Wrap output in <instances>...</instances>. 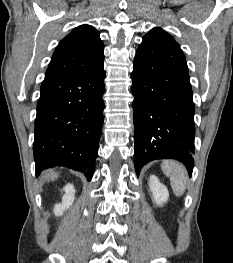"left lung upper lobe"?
I'll return each instance as SVG.
<instances>
[{"instance_id":"obj_1","label":"left lung upper lobe","mask_w":233,"mask_h":263,"mask_svg":"<svg viewBox=\"0 0 233 263\" xmlns=\"http://www.w3.org/2000/svg\"><path fill=\"white\" fill-rule=\"evenodd\" d=\"M143 40H157V41H163L168 43H176L172 36L167 34L165 31H163L161 28H153L149 31L144 37Z\"/></svg>"}]
</instances>
